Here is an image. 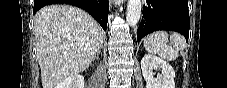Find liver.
<instances>
[{
	"mask_svg": "<svg viewBox=\"0 0 227 88\" xmlns=\"http://www.w3.org/2000/svg\"><path fill=\"white\" fill-rule=\"evenodd\" d=\"M34 36L43 88L83 72L102 48L103 29L85 11L65 4L41 8Z\"/></svg>",
	"mask_w": 227,
	"mask_h": 88,
	"instance_id": "obj_1",
	"label": "liver"
}]
</instances>
